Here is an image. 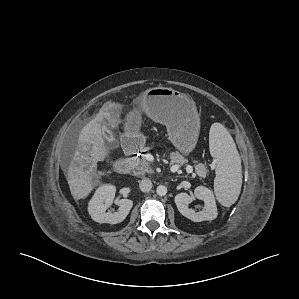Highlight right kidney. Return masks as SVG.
I'll return each instance as SVG.
<instances>
[{
    "mask_svg": "<svg viewBox=\"0 0 299 299\" xmlns=\"http://www.w3.org/2000/svg\"><path fill=\"white\" fill-rule=\"evenodd\" d=\"M115 192V186L109 184L102 185L96 190L88 205V212L95 222L117 224L127 217L133 206V202L129 199L118 200L116 204L119 208L116 212H106L113 203Z\"/></svg>",
    "mask_w": 299,
    "mask_h": 299,
    "instance_id": "obj_1",
    "label": "right kidney"
}]
</instances>
